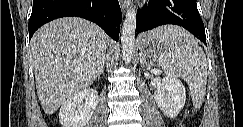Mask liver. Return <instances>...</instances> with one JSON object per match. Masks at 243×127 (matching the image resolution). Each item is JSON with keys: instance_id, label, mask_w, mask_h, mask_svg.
<instances>
[{"instance_id": "obj_1", "label": "liver", "mask_w": 243, "mask_h": 127, "mask_svg": "<svg viewBox=\"0 0 243 127\" xmlns=\"http://www.w3.org/2000/svg\"><path fill=\"white\" fill-rule=\"evenodd\" d=\"M109 37L96 24L65 17L42 26L30 42L40 104L48 115L88 88L105 63Z\"/></svg>"}]
</instances>
